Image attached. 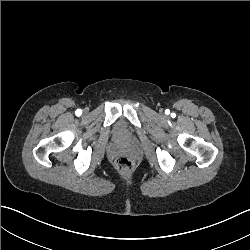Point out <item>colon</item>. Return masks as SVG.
<instances>
[{"instance_id":"colon-1","label":"colon","mask_w":250,"mask_h":250,"mask_svg":"<svg viewBox=\"0 0 250 250\" xmlns=\"http://www.w3.org/2000/svg\"><path fill=\"white\" fill-rule=\"evenodd\" d=\"M115 165L120 172L126 173H131L136 168L135 161L125 155L118 156L115 160Z\"/></svg>"}]
</instances>
